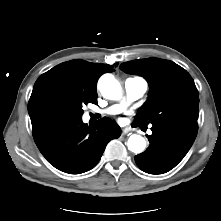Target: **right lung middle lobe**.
<instances>
[{
  "mask_svg": "<svg viewBox=\"0 0 221 221\" xmlns=\"http://www.w3.org/2000/svg\"><path fill=\"white\" fill-rule=\"evenodd\" d=\"M97 103V96L75 95L64 100L58 108L57 116L81 118L83 114L82 106L87 103Z\"/></svg>",
  "mask_w": 221,
  "mask_h": 221,
  "instance_id": "right-lung-middle-lobe-1",
  "label": "right lung middle lobe"
}]
</instances>
